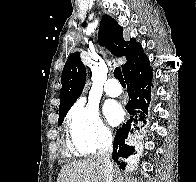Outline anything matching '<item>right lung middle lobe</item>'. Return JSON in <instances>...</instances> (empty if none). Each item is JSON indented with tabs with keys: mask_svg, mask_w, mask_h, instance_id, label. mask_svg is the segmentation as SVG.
Wrapping results in <instances>:
<instances>
[{
	"mask_svg": "<svg viewBox=\"0 0 196 182\" xmlns=\"http://www.w3.org/2000/svg\"><path fill=\"white\" fill-rule=\"evenodd\" d=\"M64 117H65V115L59 117V119H58V126H60L62 124V122L64 120Z\"/></svg>",
	"mask_w": 196,
	"mask_h": 182,
	"instance_id": "right-lung-middle-lobe-1",
	"label": "right lung middle lobe"
}]
</instances>
